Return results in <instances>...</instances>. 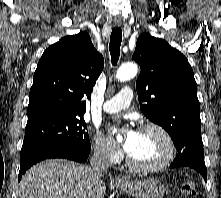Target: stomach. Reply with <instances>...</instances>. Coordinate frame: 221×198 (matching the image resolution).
<instances>
[{
    "label": "stomach",
    "instance_id": "obj_1",
    "mask_svg": "<svg viewBox=\"0 0 221 198\" xmlns=\"http://www.w3.org/2000/svg\"><path fill=\"white\" fill-rule=\"evenodd\" d=\"M117 187L134 198H163L166 191L161 182L152 178L117 183Z\"/></svg>",
    "mask_w": 221,
    "mask_h": 198
}]
</instances>
